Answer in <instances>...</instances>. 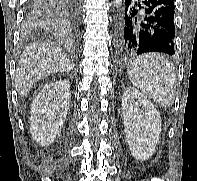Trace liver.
<instances>
[{
  "instance_id": "obj_1",
  "label": "liver",
  "mask_w": 197,
  "mask_h": 181,
  "mask_svg": "<svg viewBox=\"0 0 197 181\" xmlns=\"http://www.w3.org/2000/svg\"><path fill=\"white\" fill-rule=\"evenodd\" d=\"M62 50L49 42L36 43L26 49L16 68L15 87L24 95L34 82L44 76L68 72L72 69Z\"/></svg>"
}]
</instances>
